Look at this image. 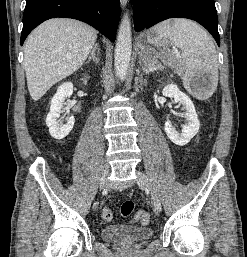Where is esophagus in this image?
Listing matches in <instances>:
<instances>
[{"mask_svg":"<svg viewBox=\"0 0 247 257\" xmlns=\"http://www.w3.org/2000/svg\"><path fill=\"white\" fill-rule=\"evenodd\" d=\"M120 2H121V5L123 7H125L127 5V3H128V0H120Z\"/></svg>","mask_w":247,"mask_h":257,"instance_id":"1","label":"esophagus"}]
</instances>
